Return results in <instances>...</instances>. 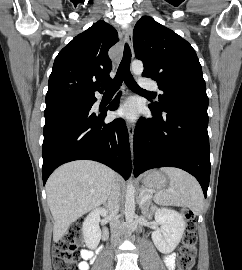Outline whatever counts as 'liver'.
Listing matches in <instances>:
<instances>
[{"instance_id": "obj_1", "label": "liver", "mask_w": 242, "mask_h": 270, "mask_svg": "<svg viewBox=\"0 0 242 270\" xmlns=\"http://www.w3.org/2000/svg\"><path fill=\"white\" fill-rule=\"evenodd\" d=\"M119 177L107 166L89 160L66 163L46 183L47 201L54 219L53 241L70 225L107 200Z\"/></svg>"}]
</instances>
